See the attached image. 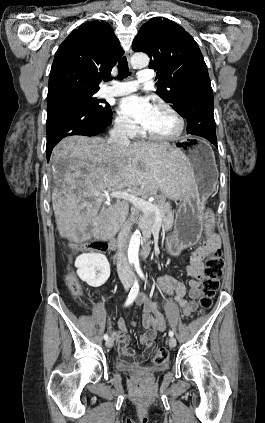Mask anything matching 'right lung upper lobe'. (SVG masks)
I'll use <instances>...</instances> for the list:
<instances>
[{
	"label": "right lung upper lobe",
	"instance_id": "obj_1",
	"mask_svg": "<svg viewBox=\"0 0 265 423\" xmlns=\"http://www.w3.org/2000/svg\"><path fill=\"white\" fill-rule=\"evenodd\" d=\"M123 54L108 23L93 20L82 24L55 54L47 97L78 89L98 91L100 78L111 73Z\"/></svg>",
	"mask_w": 265,
	"mask_h": 423
}]
</instances>
